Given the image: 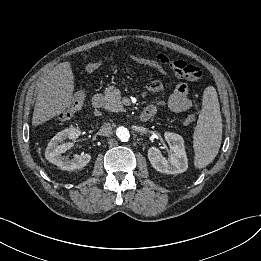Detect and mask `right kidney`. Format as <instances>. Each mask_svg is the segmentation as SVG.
<instances>
[{
    "mask_svg": "<svg viewBox=\"0 0 261 261\" xmlns=\"http://www.w3.org/2000/svg\"><path fill=\"white\" fill-rule=\"evenodd\" d=\"M80 134L81 131L78 128H69L59 132L56 136H54L51 139L46 148V159L54 165L58 166L62 170L73 171L85 167L91 160L90 154H76L72 159H68L61 156V154L69 150L73 146V143L66 142L63 144H59L66 139L76 141L79 138Z\"/></svg>",
    "mask_w": 261,
    "mask_h": 261,
    "instance_id": "right-kidney-1",
    "label": "right kidney"
}]
</instances>
